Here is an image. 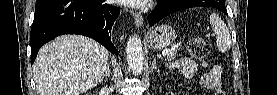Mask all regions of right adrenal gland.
Wrapping results in <instances>:
<instances>
[{"instance_id": "2a0ac1e0", "label": "right adrenal gland", "mask_w": 277, "mask_h": 95, "mask_svg": "<svg viewBox=\"0 0 277 95\" xmlns=\"http://www.w3.org/2000/svg\"><path fill=\"white\" fill-rule=\"evenodd\" d=\"M108 77H110V67H109V65H107L106 71L103 74L100 82H103L104 79L107 80Z\"/></svg>"}]
</instances>
